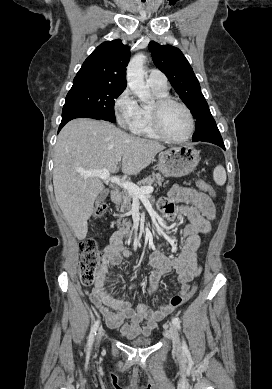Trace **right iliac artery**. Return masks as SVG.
<instances>
[{"mask_svg": "<svg viewBox=\"0 0 272 389\" xmlns=\"http://www.w3.org/2000/svg\"><path fill=\"white\" fill-rule=\"evenodd\" d=\"M99 324H100V320H97L94 323L93 327L91 328V331H90V334H89V338H88V346H87V350L88 351H90V349H91V346L93 344V341H94L97 329L99 327Z\"/></svg>", "mask_w": 272, "mask_h": 389, "instance_id": "82829eb1", "label": "right iliac artery"}]
</instances>
